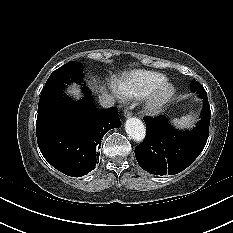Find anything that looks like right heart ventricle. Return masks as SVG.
Returning <instances> with one entry per match:
<instances>
[{
	"label": "right heart ventricle",
	"mask_w": 233,
	"mask_h": 233,
	"mask_svg": "<svg viewBox=\"0 0 233 233\" xmlns=\"http://www.w3.org/2000/svg\"><path fill=\"white\" fill-rule=\"evenodd\" d=\"M166 77L157 72L135 71L116 84V90L124 98H142L146 96Z\"/></svg>",
	"instance_id": "1"
}]
</instances>
